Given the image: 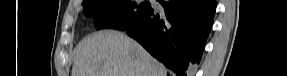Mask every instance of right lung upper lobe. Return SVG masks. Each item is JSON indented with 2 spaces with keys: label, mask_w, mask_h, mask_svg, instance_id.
<instances>
[{
  "label": "right lung upper lobe",
  "mask_w": 287,
  "mask_h": 76,
  "mask_svg": "<svg viewBox=\"0 0 287 76\" xmlns=\"http://www.w3.org/2000/svg\"><path fill=\"white\" fill-rule=\"evenodd\" d=\"M86 1H88V0H83V2H82V3L86 2Z\"/></svg>",
  "instance_id": "cb5924a9"
}]
</instances>
